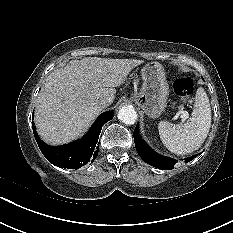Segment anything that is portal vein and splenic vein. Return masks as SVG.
<instances>
[{"label": "portal vein and splenic vein", "instance_id": "18ae733b", "mask_svg": "<svg viewBox=\"0 0 233 233\" xmlns=\"http://www.w3.org/2000/svg\"><path fill=\"white\" fill-rule=\"evenodd\" d=\"M178 114H180V117L182 118V121H185L189 118V114L187 111L179 110Z\"/></svg>", "mask_w": 233, "mask_h": 233}]
</instances>
